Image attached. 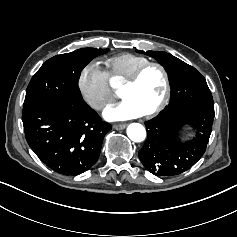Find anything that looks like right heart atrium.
<instances>
[{"label":"right heart atrium","mask_w":237,"mask_h":237,"mask_svg":"<svg viewBox=\"0 0 237 237\" xmlns=\"http://www.w3.org/2000/svg\"><path fill=\"white\" fill-rule=\"evenodd\" d=\"M78 87L85 102L95 110L104 109L114 99L109 77L97 62H90L81 69Z\"/></svg>","instance_id":"1"}]
</instances>
